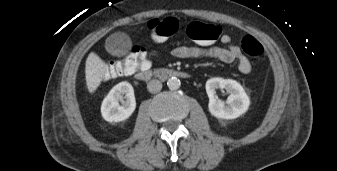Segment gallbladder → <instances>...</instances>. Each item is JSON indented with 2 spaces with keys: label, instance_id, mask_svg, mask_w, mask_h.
Wrapping results in <instances>:
<instances>
[{
  "label": "gallbladder",
  "instance_id": "1",
  "mask_svg": "<svg viewBox=\"0 0 337 171\" xmlns=\"http://www.w3.org/2000/svg\"><path fill=\"white\" fill-rule=\"evenodd\" d=\"M130 46V39L122 33H115L107 38L106 49L113 55H123Z\"/></svg>",
  "mask_w": 337,
  "mask_h": 171
}]
</instances>
